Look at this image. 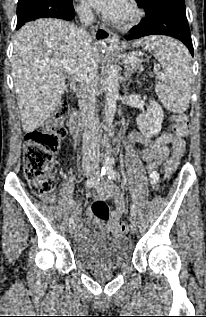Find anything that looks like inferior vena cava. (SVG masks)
<instances>
[{
    "instance_id": "inferior-vena-cava-1",
    "label": "inferior vena cava",
    "mask_w": 206,
    "mask_h": 317,
    "mask_svg": "<svg viewBox=\"0 0 206 317\" xmlns=\"http://www.w3.org/2000/svg\"><path fill=\"white\" fill-rule=\"evenodd\" d=\"M76 10L80 21L85 26L90 25L94 21L89 5H81ZM77 42L83 57L80 69V84L77 88L83 127V167L85 169H98L100 156V146L97 139L99 119L95 98L98 73L97 52L92 38L86 31H78Z\"/></svg>"
}]
</instances>
